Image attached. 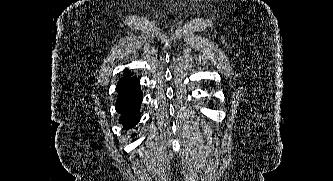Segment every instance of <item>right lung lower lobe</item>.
Wrapping results in <instances>:
<instances>
[{
	"label": "right lung lower lobe",
	"mask_w": 333,
	"mask_h": 181,
	"mask_svg": "<svg viewBox=\"0 0 333 181\" xmlns=\"http://www.w3.org/2000/svg\"><path fill=\"white\" fill-rule=\"evenodd\" d=\"M118 93L115 105L116 111L121 113L119 123L125 130L134 127L140 120V105L142 92L136 76L119 82L116 87Z\"/></svg>",
	"instance_id": "98d812e1"
}]
</instances>
